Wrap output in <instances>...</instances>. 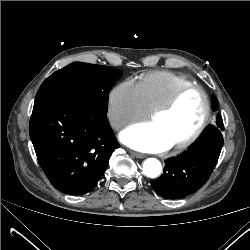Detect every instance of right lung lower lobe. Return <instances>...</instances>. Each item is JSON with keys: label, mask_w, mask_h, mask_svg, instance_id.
Masks as SVG:
<instances>
[{"label": "right lung lower lobe", "mask_w": 250, "mask_h": 250, "mask_svg": "<svg viewBox=\"0 0 250 250\" xmlns=\"http://www.w3.org/2000/svg\"><path fill=\"white\" fill-rule=\"evenodd\" d=\"M106 113L66 97L35 101L30 138L55 188L71 195L86 194L100 180L119 146Z\"/></svg>", "instance_id": "obj_1"}]
</instances>
